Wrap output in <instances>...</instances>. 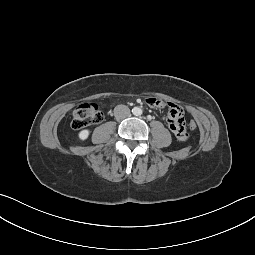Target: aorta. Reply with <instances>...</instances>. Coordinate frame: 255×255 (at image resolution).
I'll return each mask as SVG.
<instances>
[{
  "mask_svg": "<svg viewBox=\"0 0 255 255\" xmlns=\"http://www.w3.org/2000/svg\"><path fill=\"white\" fill-rule=\"evenodd\" d=\"M132 112H133L134 115L139 116V115L142 114V109L139 108V107H134V108L132 109Z\"/></svg>",
  "mask_w": 255,
  "mask_h": 255,
  "instance_id": "1",
  "label": "aorta"
}]
</instances>
